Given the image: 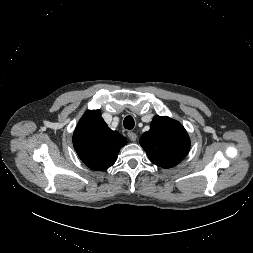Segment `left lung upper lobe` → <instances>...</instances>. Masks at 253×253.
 <instances>
[{
    "label": "left lung upper lobe",
    "mask_w": 253,
    "mask_h": 253,
    "mask_svg": "<svg viewBox=\"0 0 253 253\" xmlns=\"http://www.w3.org/2000/svg\"><path fill=\"white\" fill-rule=\"evenodd\" d=\"M140 144L150 161L163 168L176 166L190 149L184 127L178 121L158 115L152 120L150 130L142 135Z\"/></svg>",
    "instance_id": "5c2ea615"
}]
</instances>
